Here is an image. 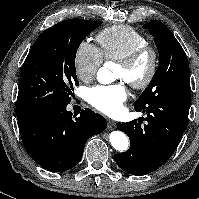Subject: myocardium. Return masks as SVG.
Segmentation results:
<instances>
[{
  "instance_id": "obj_1",
  "label": "myocardium",
  "mask_w": 199,
  "mask_h": 199,
  "mask_svg": "<svg viewBox=\"0 0 199 199\" xmlns=\"http://www.w3.org/2000/svg\"><path fill=\"white\" fill-rule=\"evenodd\" d=\"M145 59L148 61V69L145 76L139 80L127 81L128 84L136 90H145L151 85V83L155 79L159 66L158 52L153 47L145 45L118 60V65L127 70H131L140 61Z\"/></svg>"
}]
</instances>
